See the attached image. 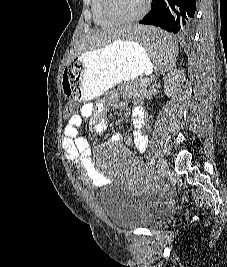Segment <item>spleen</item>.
<instances>
[{
    "mask_svg": "<svg viewBox=\"0 0 227 267\" xmlns=\"http://www.w3.org/2000/svg\"><path fill=\"white\" fill-rule=\"evenodd\" d=\"M118 30H128L121 37L122 41L145 47L155 72H170L175 66L176 56L179 55L177 39L166 31H160V27H145L134 22L133 25H118Z\"/></svg>",
    "mask_w": 227,
    "mask_h": 267,
    "instance_id": "spleen-1",
    "label": "spleen"
}]
</instances>
